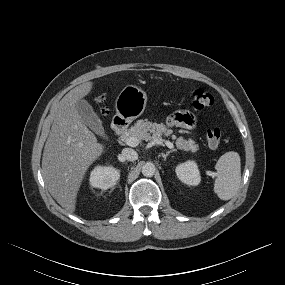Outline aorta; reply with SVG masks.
<instances>
[{
    "label": "aorta",
    "instance_id": "1",
    "mask_svg": "<svg viewBox=\"0 0 285 285\" xmlns=\"http://www.w3.org/2000/svg\"><path fill=\"white\" fill-rule=\"evenodd\" d=\"M156 172V167L152 162H146L142 166V174L145 177H152Z\"/></svg>",
    "mask_w": 285,
    "mask_h": 285
}]
</instances>
